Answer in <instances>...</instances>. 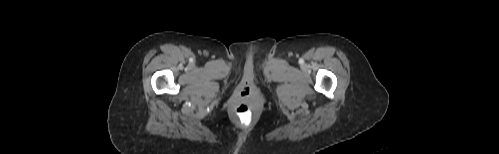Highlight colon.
Masks as SVG:
<instances>
[{
	"instance_id": "1",
	"label": "colon",
	"mask_w": 499,
	"mask_h": 154,
	"mask_svg": "<svg viewBox=\"0 0 499 154\" xmlns=\"http://www.w3.org/2000/svg\"><path fill=\"white\" fill-rule=\"evenodd\" d=\"M235 116L241 123H250L252 119L251 104L248 101H241L235 108Z\"/></svg>"
}]
</instances>
